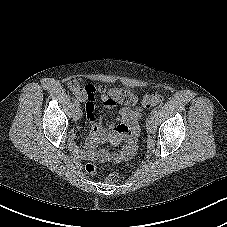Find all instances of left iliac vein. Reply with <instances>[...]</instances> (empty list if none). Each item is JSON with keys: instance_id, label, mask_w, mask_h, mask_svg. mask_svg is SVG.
<instances>
[{"instance_id": "1", "label": "left iliac vein", "mask_w": 227, "mask_h": 227, "mask_svg": "<svg viewBox=\"0 0 227 227\" xmlns=\"http://www.w3.org/2000/svg\"><path fill=\"white\" fill-rule=\"evenodd\" d=\"M147 132L153 134L155 132L156 126L154 122V116L150 115L146 122Z\"/></svg>"}]
</instances>
